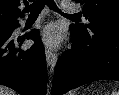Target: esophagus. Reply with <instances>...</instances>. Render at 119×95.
Here are the masks:
<instances>
[{"label":"esophagus","instance_id":"obj_1","mask_svg":"<svg viewBox=\"0 0 119 95\" xmlns=\"http://www.w3.org/2000/svg\"><path fill=\"white\" fill-rule=\"evenodd\" d=\"M45 56H46L47 66L49 67V71L52 73L57 63V56L49 49H46Z\"/></svg>","mask_w":119,"mask_h":95}]
</instances>
